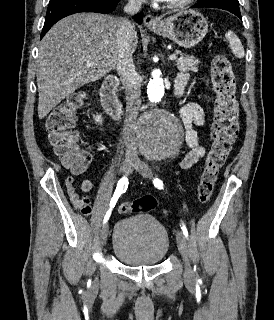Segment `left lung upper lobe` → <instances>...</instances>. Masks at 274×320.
<instances>
[{
    "label": "left lung upper lobe",
    "mask_w": 274,
    "mask_h": 320,
    "mask_svg": "<svg viewBox=\"0 0 274 320\" xmlns=\"http://www.w3.org/2000/svg\"><path fill=\"white\" fill-rule=\"evenodd\" d=\"M200 4L240 11L238 0H200Z\"/></svg>",
    "instance_id": "5c2ea615"
}]
</instances>
